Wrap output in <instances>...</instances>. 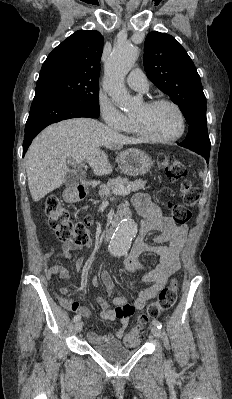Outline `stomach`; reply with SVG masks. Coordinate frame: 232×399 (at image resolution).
Instances as JSON below:
<instances>
[{
	"instance_id": "0dacf381",
	"label": "stomach",
	"mask_w": 232,
	"mask_h": 399,
	"mask_svg": "<svg viewBox=\"0 0 232 399\" xmlns=\"http://www.w3.org/2000/svg\"><path fill=\"white\" fill-rule=\"evenodd\" d=\"M116 162L119 166V170L128 174V176H140V174H146L153 166L151 158H149L146 152L142 150H136V148H130L125 152H120L116 158Z\"/></svg>"
}]
</instances>
